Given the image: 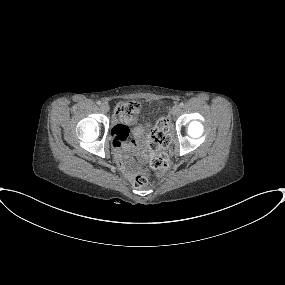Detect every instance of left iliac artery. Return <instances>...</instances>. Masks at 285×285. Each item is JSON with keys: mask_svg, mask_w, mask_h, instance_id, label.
I'll use <instances>...</instances> for the list:
<instances>
[{"mask_svg": "<svg viewBox=\"0 0 285 285\" xmlns=\"http://www.w3.org/2000/svg\"><path fill=\"white\" fill-rule=\"evenodd\" d=\"M179 106H180V107H184V103L181 102V103L179 104Z\"/></svg>", "mask_w": 285, "mask_h": 285, "instance_id": "1", "label": "left iliac artery"}]
</instances>
